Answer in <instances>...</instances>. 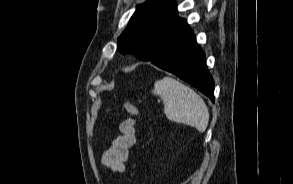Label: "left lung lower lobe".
<instances>
[{"instance_id":"1","label":"left lung lower lobe","mask_w":293,"mask_h":184,"mask_svg":"<svg viewBox=\"0 0 293 184\" xmlns=\"http://www.w3.org/2000/svg\"><path fill=\"white\" fill-rule=\"evenodd\" d=\"M149 60L159 68L190 83L214 102V81L203 50L186 20L177 13L164 26V33L152 38Z\"/></svg>"}]
</instances>
